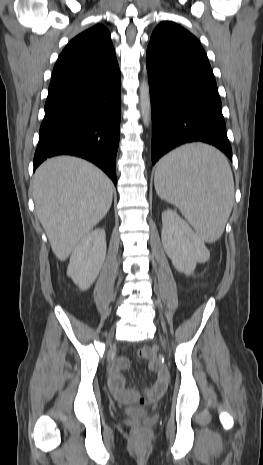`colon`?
Listing matches in <instances>:
<instances>
[{"label":"colon","instance_id":"colon-1","mask_svg":"<svg viewBox=\"0 0 263 465\" xmlns=\"http://www.w3.org/2000/svg\"><path fill=\"white\" fill-rule=\"evenodd\" d=\"M155 396H157V395H155ZM140 403L143 404V403H144V400H140Z\"/></svg>","mask_w":263,"mask_h":465}]
</instances>
